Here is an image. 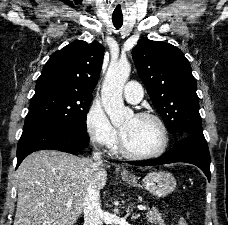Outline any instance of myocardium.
Wrapping results in <instances>:
<instances>
[{
  "mask_svg": "<svg viewBox=\"0 0 228 225\" xmlns=\"http://www.w3.org/2000/svg\"><path fill=\"white\" fill-rule=\"evenodd\" d=\"M135 117L138 119H151V120L157 122L163 132V144H162L161 148L155 153H151V154L139 153V152H136L129 148V146L126 143L124 133L121 131V135H120L121 152L123 154H125L131 158H135V159H145L146 160V159H156V158L161 157L166 152L168 145H169V140H170L169 129H168L166 123L164 122V120L161 117H159L158 115L152 114V113L141 112V113H137L135 115Z\"/></svg>",
  "mask_w": 228,
  "mask_h": 225,
  "instance_id": "f54148a6",
  "label": "myocardium"
}]
</instances>
